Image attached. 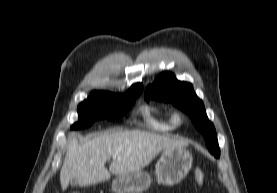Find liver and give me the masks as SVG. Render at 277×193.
Wrapping results in <instances>:
<instances>
[{
	"label": "liver",
	"instance_id": "liver-1",
	"mask_svg": "<svg viewBox=\"0 0 277 193\" xmlns=\"http://www.w3.org/2000/svg\"><path fill=\"white\" fill-rule=\"evenodd\" d=\"M187 145L182 139L140 130H109L82 144L73 135L60 170L61 188L66 190L71 181L87 186L106 181L111 174L130 175L141 171L161 151ZM111 157L113 160L107 170L105 163Z\"/></svg>",
	"mask_w": 277,
	"mask_h": 193
}]
</instances>
